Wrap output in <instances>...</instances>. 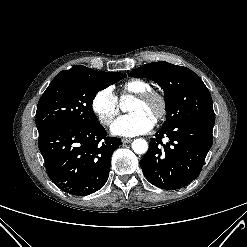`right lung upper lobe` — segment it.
Instances as JSON below:
<instances>
[{"label": "right lung upper lobe", "mask_w": 247, "mask_h": 247, "mask_svg": "<svg viewBox=\"0 0 247 247\" xmlns=\"http://www.w3.org/2000/svg\"><path fill=\"white\" fill-rule=\"evenodd\" d=\"M74 68H81V69H84V70H87L89 72H92V73H98V74H102V73H110V72H99V71H96V70H93V69H90V68H87L83 65H75L73 66Z\"/></svg>", "instance_id": "1"}]
</instances>
